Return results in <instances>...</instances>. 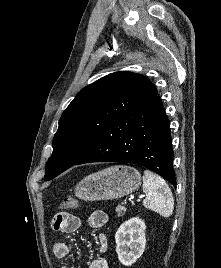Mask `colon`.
<instances>
[{
    "label": "colon",
    "mask_w": 221,
    "mask_h": 268,
    "mask_svg": "<svg viewBox=\"0 0 221 268\" xmlns=\"http://www.w3.org/2000/svg\"><path fill=\"white\" fill-rule=\"evenodd\" d=\"M79 201L73 197H65L60 203V209L62 210H70L74 209L78 206Z\"/></svg>",
    "instance_id": "1"
}]
</instances>
